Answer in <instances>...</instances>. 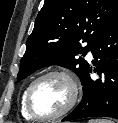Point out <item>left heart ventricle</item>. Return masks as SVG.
<instances>
[{
	"label": "left heart ventricle",
	"instance_id": "1",
	"mask_svg": "<svg viewBox=\"0 0 118 123\" xmlns=\"http://www.w3.org/2000/svg\"><path fill=\"white\" fill-rule=\"evenodd\" d=\"M71 95L69 84L59 76L41 81L33 91L32 106L41 116H51L60 112L68 103Z\"/></svg>",
	"mask_w": 118,
	"mask_h": 123
}]
</instances>
